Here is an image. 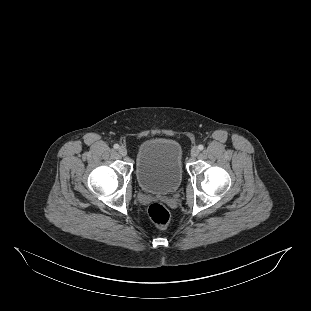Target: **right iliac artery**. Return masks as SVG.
<instances>
[{
  "instance_id": "82829eb1",
  "label": "right iliac artery",
  "mask_w": 311,
  "mask_h": 311,
  "mask_svg": "<svg viewBox=\"0 0 311 311\" xmlns=\"http://www.w3.org/2000/svg\"><path fill=\"white\" fill-rule=\"evenodd\" d=\"M114 149H118L119 148V145L118 144H114Z\"/></svg>"
}]
</instances>
